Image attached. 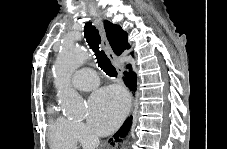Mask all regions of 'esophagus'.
I'll return each mask as SVG.
<instances>
[{
    "mask_svg": "<svg viewBox=\"0 0 227 149\" xmlns=\"http://www.w3.org/2000/svg\"><path fill=\"white\" fill-rule=\"evenodd\" d=\"M99 30H100L101 38H102V45H103L108 57L111 60V62L113 63V65L116 67L119 74L122 76L123 75V68L117 61V57L114 54V52H113V50H112V48H111V46H110V44H109V42L106 38L105 31H104V28H103V25H102L101 22L99 23ZM132 110H133V103H132L130 111H132Z\"/></svg>",
    "mask_w": 227,
    "mask_h": 149,
    "instance_id": "34e87169",
    "label": "esophagus"
}]
</instances>
